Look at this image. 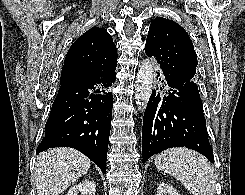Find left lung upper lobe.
<instances>
[{
	"instance_id": "5c2ea615",
	"label": "left lung upper lobe",
	"mask_w": 245,
	"mask_h": 195,
	"mask_svg": "<svg viewBox=\"0 0 245 195\" xmlns=\"http://www.w3.org/2000/svg\"><path fill=\"white\" fill-rule=\"evenodd\" d=\"M145 53L154 57L170 77L195 82L197 56L187 32L176 22L157 17L150 25Z\"/></svg>"
}]
</instances>
